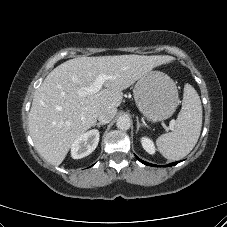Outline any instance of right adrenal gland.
I'll return each instance as SVG.
<instances>
[{"instance_id": "obj_1", "label": "right adrenal gland", "mask_w": 227, "mask_h": 227, "mask_svg": "<svg viewBox=\"0 0 227 227\" xmlns=\"http://www.w3.org/2000/svg\"><path fill=\"white\" fill-rule=\"evenodd\" d=\"M102 125H105V123L99 122V123H95L93 126H94V127L97 126V127L99 128V127L102 126Z\"/></svg>"}]
</instances>
